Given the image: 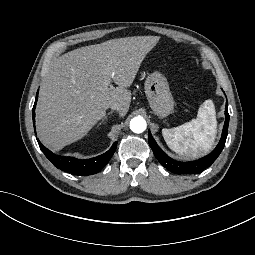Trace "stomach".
<instances>
[{
	"label": "stomach",
	"mask_w": 255,
	"mask_h": 255,
	"mask_svg": "<svg viewBox=\"0 0 255 255\" xmlns=\"http://www.w3.org/2000/svg\"><path fill=\"white\" fill-rule=\"evenodd\" d=\"M145 94L150 108L158 118L165 119L174 111V98L161 73H153L147 77Z\"/></svg>",
	"instance_id": "stomach-1"
}]
</instances>
